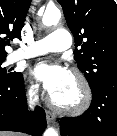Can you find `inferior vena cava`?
<instances>
[{
    "label": "inferior vena cava",
    "instance_id": "1",
    "mask_svg": "<svg viewBox=\"0 0 117 136\" xmlns=\"http://www.w3.org/2000/svg\"><path fill=\"white\" fill-rule=\"evenodd\" d=\"M31 95L34 97V100H33V103H32V105H33L34 101H37V99H38L37 90L31 91Z\"/></svg>",
    "mask_w": 117,
    "mask_h": 136
}]
</instances>
